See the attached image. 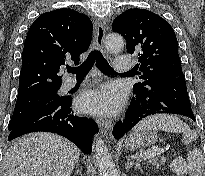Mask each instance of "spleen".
I'll return each mask as SVG.
<instances>
[{
  "label": "spleen",
  "instance_id": "1",
  "mask_svg": "<svg viewBox=\"0 0 205 176\" xmlns=\"http://www.w3.org/2000/svg\"><path fill=\"white\" fill-rule=\"evenodd\" d=\"M162 130L166 132L182 133L184 144H190L197 140L196 131L180 120L178 117L166 114H157L140 121L134 131ZM205 166V158L200 149H194L187 154V171L190 176H202Z\"/></svg>",
  "mask_w": 205,
  "mask_h": 176
}]
</instances>
